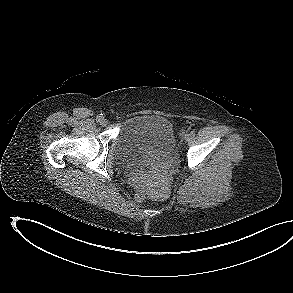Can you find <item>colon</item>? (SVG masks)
<instances>
[{
  "label": "colon",
  "instance_id": "colon-1",
  "mask_svg": "<svg viewBox=\"0 0 293 293\" xmlns=\"http://www.w3.org/2000/svg\"><path fill=\"white\" fill-rule=\"evenodd\" d=\"M134 190L136 199L143 200L150 191V187L145 180L138 179L134 182Z\"/></svg>",
  "mask_w": 293,
  "mask_h": 293
}]
</instances>
